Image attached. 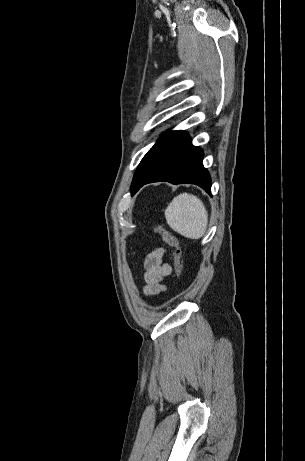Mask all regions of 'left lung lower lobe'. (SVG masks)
Returning a JSON list of instances; mask_svg holds the SVG:
<instances>
[{
	"label": "left lung lower lobe",
	"instance_id": "obj_1",
	"mask_svg": "<svg viewBox=\"0 0 305 461\" xmlns=\"http://www.w3.org/2000/svg\"><path fill=\"white\" fill-rule=\"evenodd\" d=\"M151 152V167L133 187L132 194L144 184L168 181L172 184H197L211 195L210 176L202 165L203 152L191 144L187 133L172 131L164 134Z\"/></svg>",
	"mask_w": 305,
	"mask_h": 461
}]
</instances>
